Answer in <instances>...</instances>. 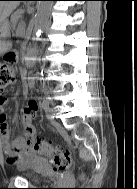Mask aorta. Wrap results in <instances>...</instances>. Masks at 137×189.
Masks as SVG:
<instances>
[{
  "label": "aorta",
  "instance_id": "1",
  "mask_svg": "<svg viewBox=\"0 0 137 189\" xmlns=\"http://www.w3.org/2000/svg\"><path fill=\"white\" fill-rule=\"evenodd\" d=\"M52 1H39L38 5H37V12H36V24H35V28H36V35L40 36L42 31L45 29L49 17H50V13H51V9H52Z\"/></svg>",
  "mask_w": 137,
  "mask_h": 189
}]
</instances>
